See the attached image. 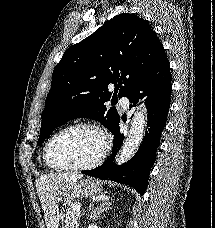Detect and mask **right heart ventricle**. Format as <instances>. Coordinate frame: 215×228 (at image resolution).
I'll use <instances>...</instances> for the list:
<instances>
[{
	"mask_svg": "<svg viewBox=\"0 0 215 228\" xmlns=\"http://www.w3.org/2000/svg\"><path fill=\"white\" fill-rule=\"evenodd\" d=\"M41 159H42V166H43V168L45 169V170H50V168L45 164V162H44V159H43V152H42V157H41Z\"/></svg>",
	"mask_w": 215,
	"mask_h": 228,
	"instance_id": "1",
	"label": "right heart ventricle"
}]
</instances>
